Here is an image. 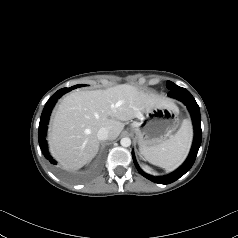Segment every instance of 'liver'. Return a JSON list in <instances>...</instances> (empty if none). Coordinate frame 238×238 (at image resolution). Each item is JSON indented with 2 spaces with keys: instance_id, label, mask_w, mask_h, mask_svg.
Returning <instances> with one entry per match:
<instances>
[{
  "instance_id": "liver-1",
  "label": "liver",
  "mask_w": 238,
  "mask_h": 238,
  "mask_svg": "<svg viewBox=\"0 0 238 238\" xmlns=\"http://www.w3.org/2000/svg\"><path fill=\"white\" fill-rule=\"evenodd\" d=\"M169 105L174 104L129 84L70 93L63 98L52 119L51 154L66 168L77 170L96 156L100 128H107L108 139L114 140L124 128L121 121L141 118L147 110Z\"/></svg>"
}]
</instances>
